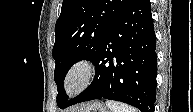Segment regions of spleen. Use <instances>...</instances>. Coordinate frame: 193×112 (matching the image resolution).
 I'll return each instance as SVG.
<instances>
[{"instance_id": "1", "label": "spleen", "mask_w": 193, "mask_h": 112, "mask_svg": "<svg viewBox=\"0 0 193 112\" xmlns=\"http://www.w3.org/2000/svg\"><path fill=\"white\" fill-rule=\"evenodd\" d=\"M106 105L112 112H138L134 107L112 100H107Z\"/></svg>"}]
</instances>
